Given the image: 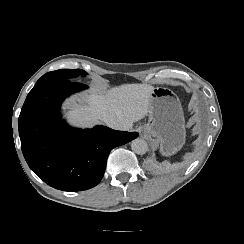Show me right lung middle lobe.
<instances>
[{
  "mask_svg": "<svg viewBox=\"0 0 244 244\" xmlns=\"http://www.w3.org/2000/svg\"><path fill=\"white\" fill-rule=\"evenodd\" d=\"M86 73L83 70L75 69V70H68V69H60L53 72H48L43 75L38 82H42L45 80H58V79H74L79 75H85Z\"/></svg>",
  "mask_w": 244,
  "mask_h": 244,
  "instance_id": "right-lung-middle-lobe-1",
  "label": "right lung middle lobe"
}]
</instances>
